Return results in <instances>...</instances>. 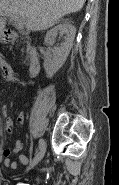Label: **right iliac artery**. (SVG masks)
Returning <instances> with one entry per match:
<instances>
[{"mask_svg": "<svg viewBox=\"0 0 119 185\" xmlns=\"http://www.w3.org/2000/svg\"><path fill=\"white\" fill-rule=\"evenodd\" d=\"M42 143H43V140H42V139H40V140H39V149L41 148Z\"/></svg>", "mask_w": 119, "mask_h": 185, "instance_id": "obj_1", "label": "right iliac artery"}]
</instances>
